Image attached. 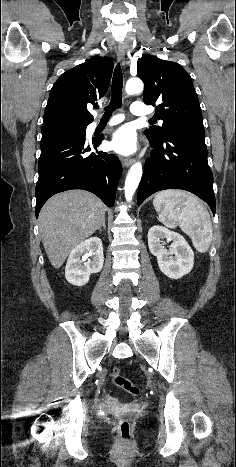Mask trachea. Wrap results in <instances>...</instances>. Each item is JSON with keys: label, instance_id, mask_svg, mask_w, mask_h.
I'll return each mask as SVG.
<instances>
[{"label": "trachea", "instance_id": "obj_1", "mask_svg": "<svg viewBox=\"0 0 236 467\" xmlns=\"http://www.w3.org/2000/svg\"><path fill=\"white\" fill-rule=\"evenodd\" d=\"M122 88H123V74L120 65H117L114 70L112 87H111V101L110 104L105 107V113L102 119H109L117 108L122 105ZM153 122V120H150Z\"/></svg>", "mask_w": 236, "mask_h": 467}]
</instances>
